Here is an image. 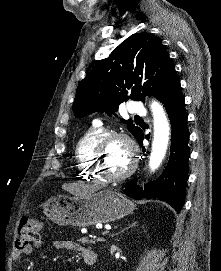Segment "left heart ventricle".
Returning <instances> with one entry per match:
<instances>
[{
  "label": "left heart ventricle",
  "mask_w": 221,
  "mask_h": 271,
  "mask_svg": "<svg viewBox=\"0 0 221 271\" xmlns=\"http://www.w3.org/2000/svg\"><path fill=\"white\" fill-rule=\"evenodd\" d=\"M126 141L129 140L121 137L117 141H107V144H104L103 156H100L99 163L107 168V175H122L124 168L132 164V159H126L129 153L124 149Z\"/></svg>",
  "instance_id": "obj_1"
}]
</instances>
